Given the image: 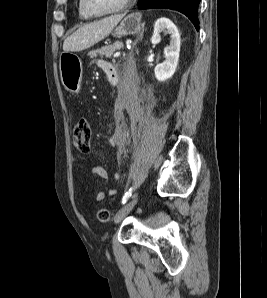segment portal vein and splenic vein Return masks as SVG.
<instances>
[{"label":"portal vein and splenic vein","instance_id":"1","mask_svg":"<svg viewBox=\"0 0 267 298\" xmlns=\"http://www.w3.org/2000/svg\"><path fill=\"white\" fill-rule=\"evenodd\" d=\"M120 54H121V52L118 51V52H116V53L114 54V57H118V56H120Z\"/></svg>","mask_w":267,"mask_h":298}]
</instances>
